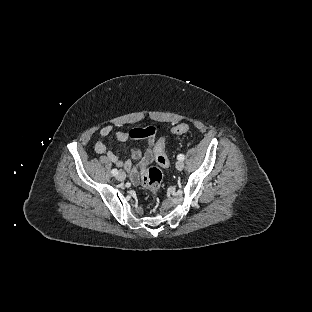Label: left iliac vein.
Listing matches in <instances>:
<instances>
[{
	"label": "left iliac vein",
	"instance_id": "4c4485c4",
	"mask_svg": "<svg viewBox=\"0 0 312 312\" xmlns=\"http://www.w3.org/2000/svg\"><path fill=\"white\" fill-rule=\"evenodd\" d=\"M176 168H177V170H179V171H181V170H183V168H184V162L183 161H177V163H176Z\"/></svg>",
	"mask_w": 312,
	"mask_h": 312
}]
</instances>
